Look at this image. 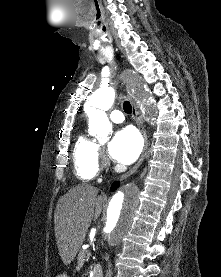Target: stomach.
<instances>
[{
    "label": "stomach",
    "instance_id": "stomach-1",
    "mask_svg": "<svg viewBox=\"0 0 221 277\" xmlns=\"http://www.w3.org/2000/svg\"><path fill=\"white\" fill-rule=\"evenodd\" d=\"M58 277H67L66 274L59 275Z\"/></svg>",
    "mask_w": 221,
    "mask_h": 277
}]
</instances>
